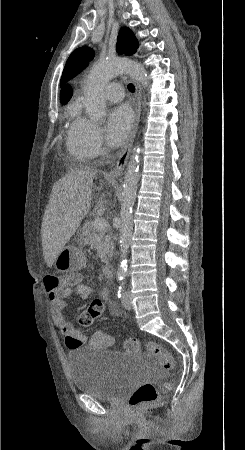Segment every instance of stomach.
I'll return each mask as SVG.
<instances>
[{
  "instance_id": "stomach-1",
  "label": "stomach",
  "mask_w": 245,
  "mask_h": 450,
  "mask_svg": "<svg viewBox=\"0 0 245 450\" xmlns=\"http://www.w3.org/2000/svg\"><path fill=\"white\" fill-rule=\"evenodd\" d=\"M86 264L85 255L80 246H66L54 261L59 272H74L81 270Z\"/></svg>"
}]
</instances>
